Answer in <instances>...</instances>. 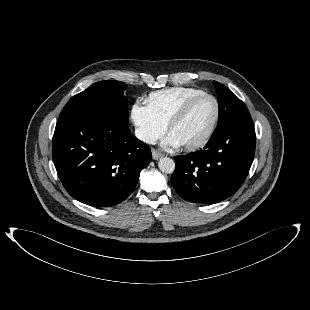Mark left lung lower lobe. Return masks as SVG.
<instances>
[{"instance_id": "obj_1", "label": "left lung lower lobe", "mask_w": 310, "mask_h": 310, "mask_svg": "<svg viewBox=\"0 0 310 310\" xmlns=\"http://www.w3.org/2000/svg\"><path fill=\"white\" fill-rule=\"evenodd\" d=\"M256 136L247 118L211 136L204 149L175 156L171 184L185 200L214 204L243 184L254 158Z\"/></svg>"}]
</instances>
